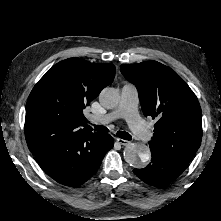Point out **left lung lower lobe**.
I'll return each instance as SVG.
<instances>
[{
    "label": "left lung lower lobe",
    "mask_w": 221,
    "mask_h": 221,
    "mask_svg": "<svg viewBox=\"0 0 221 221\" xmlns=\"http://www.w3.org/2000/svg\"><path fill=\"white\" fill-rule=\"evenodd\" d=\"M151 162L142 169H134L133 172L145 183L152 186H163L175 180L186 168L167 156L151 150Z\"/></svg>",
    "instance_id": "0a47b994"
}]
</instances>
